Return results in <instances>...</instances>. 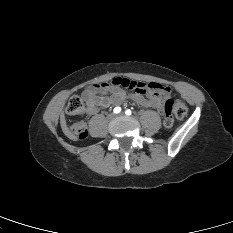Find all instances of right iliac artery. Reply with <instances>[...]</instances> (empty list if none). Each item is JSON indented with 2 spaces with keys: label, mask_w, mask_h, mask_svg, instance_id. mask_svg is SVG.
<instances>
[{
  "label": "right iliac artery",
  "mask_w": 233,
  "mask_h": 233,
  "mask_svg": "<svg viewBox=\"0 0 233 233\" xmlns=\"http://www.w3.org/2000/svg\"><path fill=\"white\" fill-rule=\"evenodd\" d=\"M113 112H114L115 114H118V113L121 112V108H120V107H115L114 110H113Z\"/></svg>",
  "instance_id": "82829eb1"
}]
</instances>
